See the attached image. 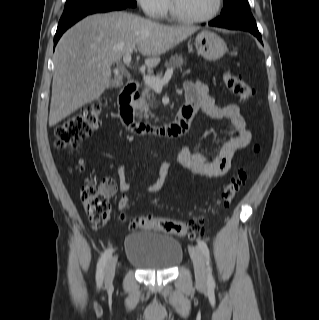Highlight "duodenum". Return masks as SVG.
Here are the masks:
<instances>
[{
    "instance_id": "1",
    "label": "duodenum",
    "mask_w": 319,
    "mask_h": 320,
    "mask_svg": "<svg viewBox=\"0 0 319 320\" xmlns=\"http://www.w3.org/2000/svg\"><path fill=\"white\" fill-rule=\"evenodd\" d=\"M138 84L134 80L128 81L118 97L119 116L123 123L137 133H153L165 138H172L184 133L190 126L196 113L193 109L182 107L175 120L161 126H150L134 121L133 102L136 99Z\"/></svg>"
}]
</instances>
